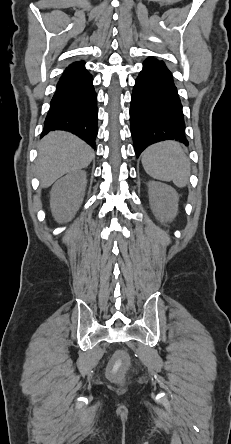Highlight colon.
Returning a JSON list of instances; mask_svg holds the SVG:
<instances>
[{
    "label": "colon",
    "mask_w": 231,
    "mask_h": 444,
    "mask_svg": "<svg viewBox=\"0 0 231 444\" xmlns=\"http://www.w3.org/2000/svg\"><path fill=\"white\" fill-rule=\"evenodd\" d=\"M128 356L124 352L116 353L110 361L108 374L115 380H120L128 366Z\"/></svg>",
    "instance_id": "5ec220e1"
}]
</instances>
